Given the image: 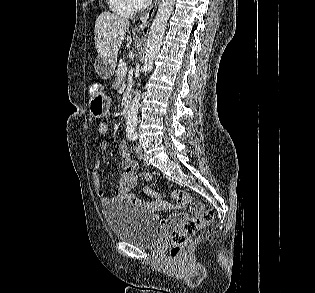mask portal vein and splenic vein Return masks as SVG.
<instances>
[{"label": "portal vein and splenic vein", "mask_w": 315, "mask_h": 293, "mask_svg": "<svg viewBox=\"0 0 315 293\" xmlns=\"http://www.w3.org/2000/svg\"><path fill=\"white\" fill-rule=\"evenodd\" d=\"M127 74V67L124 66L122 69H121V75L122 76H125Z\"/></svg>", "instance_id": "obj_1"}]
</instances>
